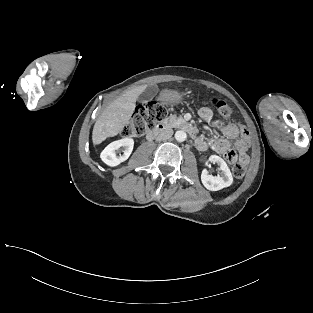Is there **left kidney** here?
Listing matches in <instances>:
<instances>
[{"label": "left kidney", "instance_id": "5707ae66", "mask_svg": "<svg viewBox=\"0 0 313 313\" xmlns=\"http://www.w3.org/2000/svg\"><path fill=\"white\" fill-rule=\"evenodd\" d=\"M210 162L217 163L221 173L218 176H213L206 169L202 171L201 181L206 189L210 191H218L225 187H229L233 183V177L226 162L217 155L210 156Z\"/></svg>", "mask_w": 313, "mask_h": 313}]
</instances>
